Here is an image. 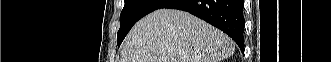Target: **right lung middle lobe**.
Instances as JSON below:
<instances>
[{"label":"right lung middle lobe","mask_w":331,"mask_h":62,"mask_svg":"<svg viewBox=\"0 0 331 62\" xmlns=\"http://www.w3.org/2000/svg\"><path fill=\"white\" fill-rule=\"evenodd\" d=\"M172 0H125L120 15V29L117 33L118 46L132 26L150 12L165 7Z\"/></svg>","instance_id":"dd1d6c3e"}]
</instances>
